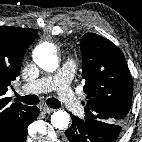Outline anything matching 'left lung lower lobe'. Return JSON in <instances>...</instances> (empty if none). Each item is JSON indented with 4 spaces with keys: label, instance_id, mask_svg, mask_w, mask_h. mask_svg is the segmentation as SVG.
I'll return each mask as SVG.
<instances>
[{
    "label": "left lung lower lobe",
    "instance_id": "0a47b994",
    "mask_svg": "<svg viewBox=\"0 0 142 142\" xmlns=\"http://www.w3.org/2000/svg\"><path fill=\"white\" fill-rule=\"evenodd\" d=\"M73 123L65 131L66 141L70 142H115L122 126L99 120H80L70 114Z\"/></svg>",
    "mask_w": 142,
    "mask_h": 142
}]
</instances>
